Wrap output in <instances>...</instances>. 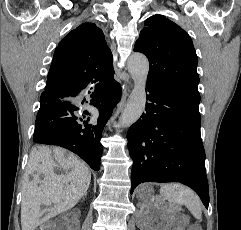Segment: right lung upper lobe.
<instances>
[{
  "label": "right lung upper lobe",
  "mask_w": 241,
  "mask_h": 230,
  "mask_svg": "<svg viewBox=\"0 0 241 230\" xmlns=\"http://www.w3.org/2000/svg\"><path fill=\"white\" fill-rule=\"evenodd\" d=\"M113 74V56L103 31L94 23H84L56 47L41 96L63 97L73 91L110 82Z\"/></svg>",
  "instance_id": "right-lung-upper-lobe-1"
}]
</instances>
